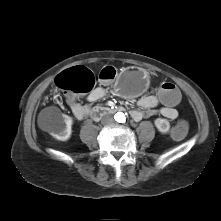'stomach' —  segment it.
<instances>
[{
	"mask_svg": "<svg viewBox=\"0 0 221 221\" xmlns=\"http://www.w3.org/2000/svg\"><path fill=\"white\" fill-rule=\"evenodd\" d=\"M149 86L148 73L140 69H126L122 71L115 82L116 92L123 97H136Z\"/></svg>",
	"mask_w": 221,
	"mask_h": 221,
	"instance_id": "1",
	"label": "stomach"
}]
</instances>
